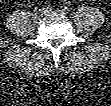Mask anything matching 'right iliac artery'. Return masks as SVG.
Masks as SVG:
<instances>
[{"label":"right iliac artery","mask_w":111,"mask_h":106,"mask_svg":"<svg viewBox=\"0 0 111 106\" xmlns=\"http://www.w3.org/2000/svg\"><path fill=\"white\" fill-rule=\"evenodd\" d=\"M54 8H53V6H51V5H48V6H46V10L47 11H52Z\"/></svg>","instance_id":"1"}]
</instances>
